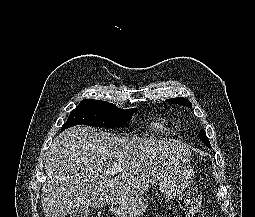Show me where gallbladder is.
<instances>
[{"mask_svg": "<svg viewBox=\"0 0 255 217\" xmlns=\"http://www.w3.org/2000/svg\"><path fill=\"white\" fill-rule=\"evenodd\" d=\"M88 207L80 205L69 211V217H89Z\"/></svg>", "mask_w": 255, "mask_h": 217, "instance_id": "1", "label": "gallbladder"}]
</instances>
